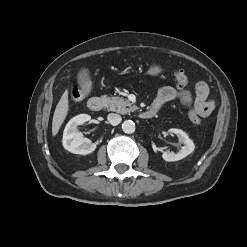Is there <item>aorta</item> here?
Here are the masks:
<instances>
[{"label": "aorta", "mask_w": 247, "mask_h": 247, "mask_svg": "<svg viewBox=\"0 0 247 247\" xmlns=\"http://www.w3.org/2000/svg\"><path fill=\"white\" fill-rule=\"evenodd\" d=\"M122 130L124 133L131 134L135 131V123L132 120H126L122 124Z\"/></svg>", "instance_id": "obj_1"}]
</instances>
